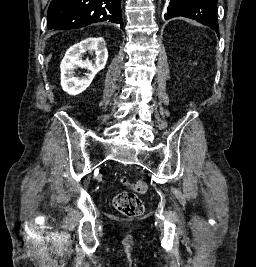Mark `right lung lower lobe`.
<instances>
[{
	"label": "right lung lower lobe",
	"instance_id": "right-lung-lower-lobe-1",
	"mask_svg": "<svg viewBox=\"0 0 256 267\" xmlns=\"http://www.w3.org/2000/svg\"><path fill=\"white\" fill-rule=\"evenodd\" d=\"M121 0H52L48 9L49 30L77 29L109 21L123 27Z\"/></svg>",
	"mask_w": 256,
	"mask_h": 267
}]
</instances>
